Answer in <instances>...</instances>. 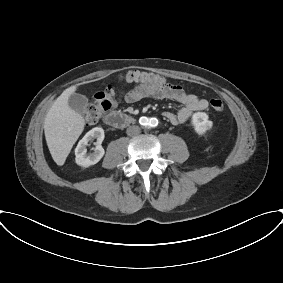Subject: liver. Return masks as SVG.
<instances>
[{
  "instance_id": "obj_1",
  "label": "liver",
  "mask_w": 283,
  "mask_h": 283,
  "mask_svg": "<svg viewBox=\"0 0 283 283\" xmlns=\"http://www.w3.org/2000/svg\"><path fill=\"white\" fill-rule=\"evenodd\" d=\"M77 86L67 88L53 103L44 120V133L50 154L59 166L65 163L73 145L84 130V118L71 109L68 99Z\"/></svg>"
}]
</instances>
